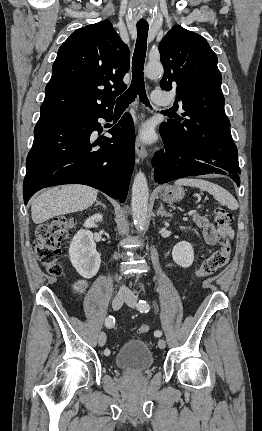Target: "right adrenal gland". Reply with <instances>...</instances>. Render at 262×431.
<instances>
[{
  "instance_id": "1",
  "label": "right adrenal gland",
  "mask_w": 262,
  "mask_h": 431,
  "mask_svg": "<svg viewBox=\"0 0 262 431\" xmlns=\"http://www.w3.org/2000/svg\"><path fill=\"white\" fill-rule=\"evenodd\" d=\"M97 205H102L103 208H106L105 204H103L101 201H98V200L96 201L95 206H97Z\"/></svg>"
}]
</instances>
